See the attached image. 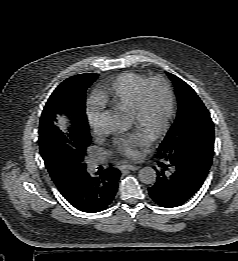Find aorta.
Instances as JSON below:
<instances>
[{
    "label": "aorta",
    "mask_w": 238,
    "mask_h": 261,
    "mask_svg": "<svg viewBox=\"0 0 238 261\" xmlns=\"http://www.w3.org/2000/svg\"><path fill=\"white\" fill-rule=\"evenodd\" d=\"M130 122L124 116L115 113H105L101 119V130L105 134H115L126 131ZM139 180L144 184H153L156 181V171L152 167L140 169Z\"/></svg>",
    "instance_id": "aorta-1"
}]
</instances>
